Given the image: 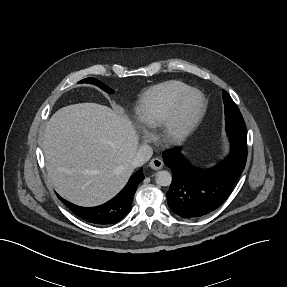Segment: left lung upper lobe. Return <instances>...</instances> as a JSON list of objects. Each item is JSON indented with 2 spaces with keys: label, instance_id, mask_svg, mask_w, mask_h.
<instances>
[{
  "label": "left lung upper lobe",
  "instance_id": "left-lung-upper-lobe-1",
  "mask_svg": "<svg viewBox=\"0 0 287 287\" xmlns=\"http://www.w3.org/2000/svg\"><path fill=\"white\" fill-rule=\"evenodd\" d=\"M222 95L225 108L226 129L232 127L245 128L244 119L230 95L225 90H223Z\"/></svg>",
  "mask_w": 287,
  "mask_h": 287
}]
</instances>
